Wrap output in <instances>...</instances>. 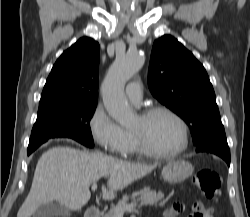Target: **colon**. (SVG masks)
I'll list each match as a JSON object with an SVG mask.
<instances>
[{
    "label": "colon",
    "instance_id": "1",
    "mask_svg": "<svg viewBox=\"0 0 250 217\" xmlns=\"http://www.w3.org/2000/svg\"><path fill=\"white\" fill-rule=\"evenodd\" d=\"M194 185L208 199L217 200L220 196L221 182L219 175L210 168H202L198 170L193 178ZM208 209L201 202H196L192 206L190 217H204Z\"/></svg>",
    "mask_w": 250,
    "mask_h": 217
}]
</instances>
